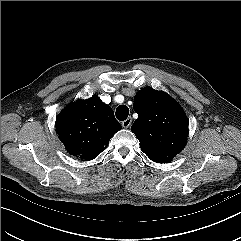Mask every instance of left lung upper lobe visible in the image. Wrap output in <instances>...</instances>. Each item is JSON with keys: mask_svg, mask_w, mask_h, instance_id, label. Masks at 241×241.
Returning <instances> with one entry per match:
<instances>
[{"mask_svg": "<svg viewBox=\"0 0 241 241\" xmlns=\"http://www.w3.org/2000/svg\"><path fill=\"white\" fill-rule=\"evenodd\" d=\"M133 108L138 119L131 131L141 150L154 162H170L188 136V120L180 105L167 93L146 87L135 95Z\"/></svg>", "mask_w": 241, "mask_h": 241, "instance_id": "left-lung-upper-lobe-1", "label": "left lung upper lobe"}]
</instances>
